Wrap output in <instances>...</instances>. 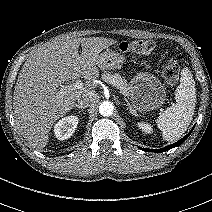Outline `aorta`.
I'll list each match as a JSON object with an SVG mask.
<instances>
[{"instance_id": "1", "label": "aorta", "mask_w": 212, "mask_h": 212, "mask_svg": "<svg viewBox=\"0 0 212 212\" xmlns=\"http://www.w3.org/2000/svg\"><path fill=\"white\" fill-rule=\"evenodd\" d=\"M113 111H114V105L110 101H104L99 106V113L102 116L105 117L111 116L113 114Z\"/></svg>"}]
</instances>
